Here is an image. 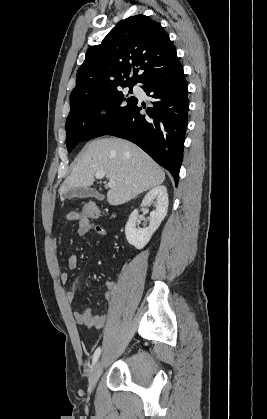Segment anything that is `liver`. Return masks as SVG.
<instances>
[{
  "mask_svg": "<svg viewBox=\"0 0 267 419\" xmlns=\"http://www.w3.org/2000/svg\"><path fill=\"white\" fill-rule=\"evenodd\" d=\"M103 171L115 187L107 193L111 205L124 204L138 194L162 184L163 170L138 146L120 138H99L86 149L60 188V198L72 188L88 187Z\"/></svg>",
  "mask_w": 267,
  "mask_h": 419,
  "instance_id": "1",
  "label": "liver"
}]
</instances>
